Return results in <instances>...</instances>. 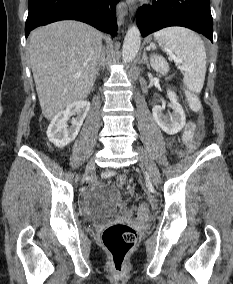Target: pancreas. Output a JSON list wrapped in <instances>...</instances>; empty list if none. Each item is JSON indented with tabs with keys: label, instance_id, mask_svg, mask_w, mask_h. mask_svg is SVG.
<instances>
[{
	"label": "pancreas",
	"instance_id": "pancreas-1",
	"mask_svg": "<svg viewBox=\"0 0 233 284\" xmlns=\"http://www.w3.org/2000/svg\"><path fill=\"white\" fill-rule=\"evenodd\" d=\"M151 62L153 68L158 72L164 73L168 69V65L162 57H157V56L152 57Z\"/></svg>",
	"mask_w": 233,
	"mask_h": 284
}]
</instances>
